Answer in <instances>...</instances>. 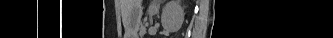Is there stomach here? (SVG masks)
<instances>
[{
	"label": "stomach",
	"mask_w": 333,
	"mask_h": 38,
	"mask_svg": "<svg viewBox=\"0 0 333 38\" xmlns=\"http://www.w3.org/2000/svg\"><path fill=\"white\" fill-rule=\"evenodd\" d=\"M137 10L134 16V21H135V25L136 27H139L140 23H141V16H142V11H141V6L140 3H137Z\"/></svg>",
	"instance_id": "stomach-1"
}]
</instances>
